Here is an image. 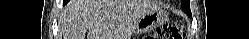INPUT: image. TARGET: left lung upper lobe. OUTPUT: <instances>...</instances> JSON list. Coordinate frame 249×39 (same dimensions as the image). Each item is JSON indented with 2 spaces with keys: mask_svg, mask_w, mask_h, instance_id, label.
Listing matches in <instances>:
<instances>
[{
  "mask_svg": "<svg viewBox=\"0 0 249 39\" xmlns=\"http://www.w3.org/2000/svg\"><path fill=\"white\" fill-rule=\"evenodd\" d=\"M181 6L185 13L190 14V2L189 0H181Z\"/></svg>",
  "mask_w": 249,
  "mask_h": 39,
  "instance_id": "obj_1",
  "label": "left lung upper lobe"
}]
</instances>
